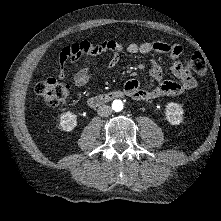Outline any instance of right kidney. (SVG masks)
<instances>
[{
	"label": "right kidney",
	"mask_w": 221,
	"mask_h": 221,
	"mask_svg": "<svg viewBox=\"0 0 221 221\" xmlns=\"http://www.w3.org/2000/svg\"><path fill=\"white\" fill-rule=\"evenodd\" d=\"M59 125L62 130L70 132L77 126V115L71 111L63 113L60 116Z\"/></svg>",
	"instance_id": "right-kidney-1"
}]
</instances>
